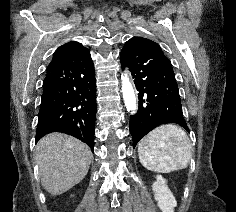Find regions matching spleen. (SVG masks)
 Masks as SVG:
<instances>
[{
  "label": "spleen",
  "instance_id": "spleen-1",
  "mask_svg": "<svg viewBox=\"0 0 236 212\" xmlns=\"http://www.w3.org/2000/svg\"><path fill=\"white\" fill-rule=\"evenodd\" d=\"M138 154L146 169L170 173L188 166L192 148L186 132L181 127L166 124L152 130L139 142Z\"/></svg>",
  "mask_w": 236,
  "mask_h": 212
}]
</instances>
